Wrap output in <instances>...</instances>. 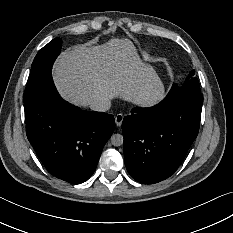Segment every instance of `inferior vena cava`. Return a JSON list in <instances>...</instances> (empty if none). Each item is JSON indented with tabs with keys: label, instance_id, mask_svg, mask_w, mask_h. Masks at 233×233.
<instances>
[{
	"label": "inferior vena cava",
	"instance_id": "602c4592",
	"mask_svg": "<svg viewBox=\"0 0 233 233\" xmlns=\"http://www.w3.org/2000/svg\"><path fill=\"white\" fill-rule=\"evenodd\" d=\"M110 107H111V100L108 98L98 99L90 105L91 110L99 111V112H105L109 110Z\"/></svg>",
	"mask_w": 233,
	"mask_h": 233
}]
</instances>
